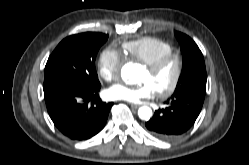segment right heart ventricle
Here are the masks:
<instances>
[{"mask_svg":"<svg viewBox=\"0 0 249 165\" xmlns=\"http://www.w3.org/2000/svg\"><path fill=\"white\" fill-rule=\"evenodd\" d=\"M122 48L128 57L144 64L172 51V46L167 41L150 36L123 42Z\"/></svg>","mask_w":249,"mask_h":165,"instance_id":"e07e8e85","label":"right heart ventricle"}]
</instances>
